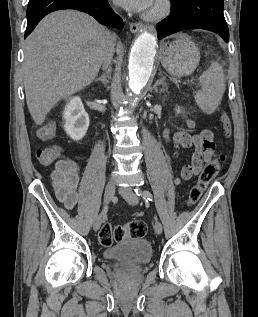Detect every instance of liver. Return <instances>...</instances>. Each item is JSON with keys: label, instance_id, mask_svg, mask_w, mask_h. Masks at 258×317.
<instances>
[{"label": "liver", "instance_id": "6515ba94", "mask_svg": "<svg viewBox=\"0 0 258 317\" xmlns=\"http://www.w3.org/2000/svg\"><path fill=\"white\" fill-rule=\"evenodd\" d=\"M110 32L93 16L56 10L44 16L24 44L27 106L36 124L60 98L90 84L97 76Z\"/></svg>", "mask_w": 258, "mask_h": 317}]
</instances>
